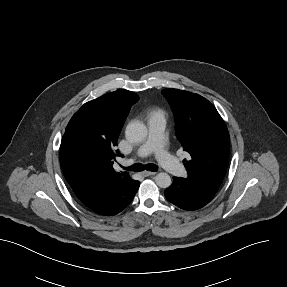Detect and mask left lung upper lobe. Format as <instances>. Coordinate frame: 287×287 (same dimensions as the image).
<instances>
[{"label":"left lung upper lobe","mask_w":287,"mask_h":287,"mask_svg":"<svg viewBox=\"0 0 287 287\" xmlns=\"http://www.w3.org/2000/svg\"><path fill=\"white\" fill-rule=\"evenodd\" d=\"M162 93L174 112L178 140L190 154L184 160L185 179L217 192L229 161V133L222 117L198 94L173 88Z\"/></svg>","instance_id":"1"}]
</instances>
